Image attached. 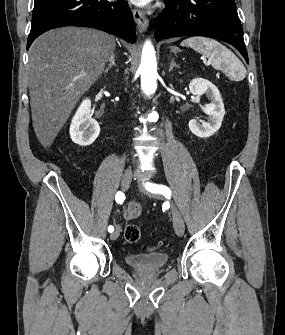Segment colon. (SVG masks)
I'll return each instance as SVG.
<instances>
[{
	"mask_svg": "<svg viewBox=\"0 0 285 335\" xmlns=\"http://www.w3.org/2000/svg\"><path fill=\"white\" fill-rule=\"evenodd\" d=\"M124 238L128 243H136L141 238V230L135 224H129L124 229Z\"/></svg>",
	"mask_w": 285,
	"mask_h": 335,
	"instance_id": "1",
	"label": "colon"
}]
</instances>
